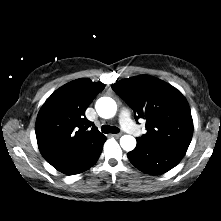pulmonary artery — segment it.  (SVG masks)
Instances as JSON below:
<instances>
[{
    "instance_id": "obj_1",
    "label": "pulmonary artery",
    "mask_w": 221,
    "mask_h": 221,
    "mask_svg": "<svg viewBox=\"0 0 221 221\" xmlns=\"http://www.w3.org/2000/svg\"><path fill=\"white\" fill-rule=\"evenodd\" d=\"M119 121L121 126L127 132L137 135L139 134V130L134 122L130 118V112L127 109H122L119 114Z\"/></svg>"
}]
</instances>
